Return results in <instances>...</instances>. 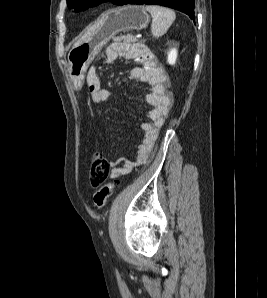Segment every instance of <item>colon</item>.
<instances>
[{"label": "colon", "mask_w": 267, "mask_h": 298, "mask_svg": "<svg viewBox=\"0 0 267 298\" xmlns=\"http://www.w3.org/2000/svg\"><path fill=\"white\" fill-rule=\"evenodd\" d=\"M110 172V163L105 154L101 151L96 152L91 161L90 182L98 188L93 196L94 204L98 209H102L111 197L115 184L106 182Z\"/></svg>", "instance_id": "5ec220e1"}]
</instances>
